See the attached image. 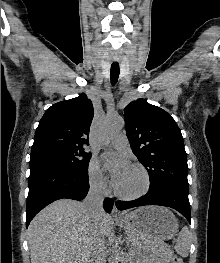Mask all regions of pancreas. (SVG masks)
<instances>
[{"label":"pancreas","mask_w":220,"mask_h":263,"mask_svg":"<svg viewBox=\"0 0 220 263\" xmlns=\"http://www.w3.org/2000/svg\"><path fill=\"white\" fill-rule=\"evenodd\" d=\"M128 233V232H127ZM130 240L134 243L135 237L132 233H128ZM152 250L161 260L169 262L173 257V251L164 243L158 242L152 244Z\"/></svg>","instance_id":"obj_1"}]
</instances>
